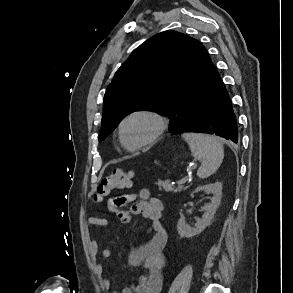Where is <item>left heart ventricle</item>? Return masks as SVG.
Masks as SVG:
<instances>
[{"label": "left heart ventricle", "mask_w": 293, "mask_h": 293, "mask_svg": "<svg viewBox=\"0 0 293 293\" xmlns=\"http://www.w3.org/2000/svg\"><path fill=\"white\" fill-rule=\"evenodd\" d=\"M154 122L146 117H134L124 126L123 132L128 144L140 143L151 136L154 131Z\"/></svg>", "instance_id": "1"}]
</instances>
